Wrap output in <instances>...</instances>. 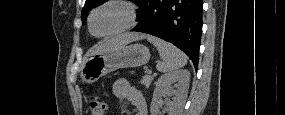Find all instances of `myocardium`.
<instances>
[{"label":"myocardium","instance_id":"f54148a6","mask_svg":"<svg viewBox=\"0 0 285 115\" xmlns=\"http://www.w3.org/2000/svg\"><path fill=\"white\" fill-rule=\"evenodd\" d=\"M105 6H117L120 7L124 14H125V22L123 23L122 26H120L119 28H117L114 31L105 33V34H96L95 32H93L92 29V20L93 17L95 15V13L100 10L101 8L105 7ZM138 23V12H137V8L136 6L131 2V1H126V0H109V1H105L102 4L98 5L97 7H95L89 14L88 16V29L89 32L95 36V37H100V38H106V37H111V36H115L121 33H124L126 31L131 30L132 28H134Z\"/></svg>","mask_w":285,"mask_h":115}]
</instances>
